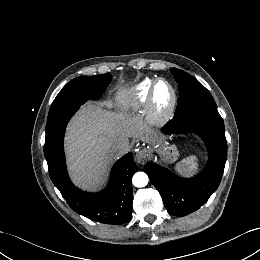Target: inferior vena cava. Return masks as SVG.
I'll list each match as a JSON object with an SVG mask.
<instances>
[{
    "mask_svg": "<svg viewBox=\"0 0 260 260\" xmlns=\"http://www.w3.org/2000/svg\"><path fill=\"white\" fill-rule=\"evenodd\" d=\"M130 145L128 138L119 139L112 147L113 151L118 155H123L129 151Z\"/></svg>",
    "mask_w": 260,
    "mask_h": 260,
    "instance_id": "inferior-vena-cava-1",
    "label": "inferior vena cava"
}]
</instances>
